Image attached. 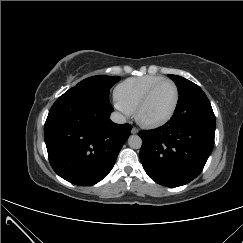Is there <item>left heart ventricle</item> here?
I'll list each match as a JSON object with an SVG mask.
<instances>
[{"label": "left heart ventricle", "mask_w": 243, "mask_h": 243, "mask_svg": "<svg viewBox=\"0 0 243 243\" xmlns=\"http://www.w3.org/2000/svg\"><path fill=\"white\" fill-rule=\"evenodd\" d=\"M175 100L174 88L166 83L157 88L141 111L144 121L153 122L165 118L171 111Z\"/></svg>", "instance_id": "left-heart-ventricle-1"}]
</instances>
